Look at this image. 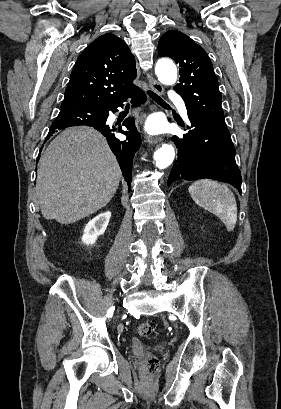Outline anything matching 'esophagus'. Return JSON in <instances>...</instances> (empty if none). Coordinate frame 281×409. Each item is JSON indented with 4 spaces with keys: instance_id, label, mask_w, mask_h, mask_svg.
Instances as JSON below:
<instances>
[{
    "instance_id": "34e87169",
    "label": "esophagus",
    "mask_w": 281,
    "mask_h": 409,
    "mask_svg": "<svg viewBox=\"0 0 281 409\" xmlns=\"http://www.w3.org/2000/svg\"><path fill=\"white\" fill-rule=\"evenodd\" d=\"M147 79L149 82L150 87L157 93H159L160 95H162L164 93V88L161 85V83H159L155 78H153L151 75L147 74ZM162 137L158 136V137H152L151 135L147 136V142L150 144H157L158 142H161Z\"/></svg>"
}]
</instances>
